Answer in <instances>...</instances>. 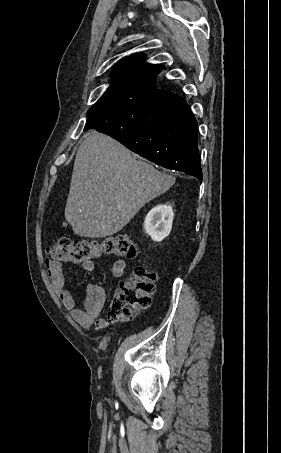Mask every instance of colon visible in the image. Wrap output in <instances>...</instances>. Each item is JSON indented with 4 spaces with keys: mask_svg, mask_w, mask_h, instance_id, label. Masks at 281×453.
Masks as SVG:
<instances>
[{
    "mask_svg": "<svg viewBox=\"0 0 281 453\" xmlns=\"http://www.w3.org/2000/svg\"><path fill=\"white\" fill-rule=\"evenodd\" d=\"M139 250L127 238H68L57 237L49 253L53 262H94L102 257H138ZM158 274L147 267L139 266L130 278L125 279L111 310L116 315L130 311H142L151 301Z\"/></svg>",
    "mask_w": 281,
    "mask_h": 453,
    "instance_id": "1",
    "label": "colon"
}]
</instances>
